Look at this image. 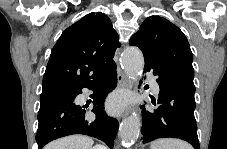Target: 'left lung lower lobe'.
I'll return each mask as SVG.
<instances>
[{
	"mask_svg": "<svg viewBox=\"0 0 227 149\" xmlns=\"http://www.w3.org/2000/svg\"><path fill=\"white\" fill-rule=\"evenodd\" d=\"M144 71H152L158 76L160 92L157 109L141 107L143 144L157 138L171 137L185 140L195 149H200L194 117L195 91L172 79L155 62L146 58ZM151 102L156 105L155 99Z\"/></svg>",
	"mask_w": 227,
	"mask_h": 149,
	"instance_id": "left-lung-lower-lobe-1",
	"label": "left lung lower lobe"
}]
</instances>
